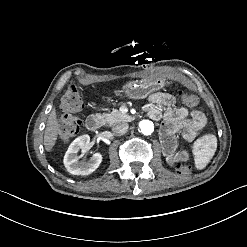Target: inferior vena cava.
Instances as JSON below:
<instances>
[{"label": "inferior vena cava", "instance_id": "1", "mask_svg": "<svg viewBox=\"0 0 247 247\" xmlns=\"http://www.w3.org/2000/svg\"><path fill=\"white\" fill-rule=\"evenodd\" d=\"M128 124L125 122L116 123L112 127V132L116 136H121L127 132Z\"/></svg>", "mask_w": 247, "mask_h": 247}]
</instances>
